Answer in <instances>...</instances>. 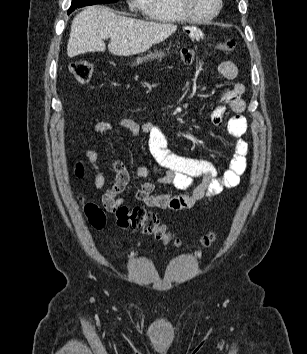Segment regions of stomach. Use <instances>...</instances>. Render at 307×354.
<instances>
[{"label": "stomach", "instance_id": "stomach-1", "mask_svg": "<svg viewBox=\"0 0 307 354\" xmlns=\"http://www.w3.org/2000/svg\"><path fill=\"white\" fill-rule=\"evenodd\" d=\"M163 57H165V53L162 51H156L154 53H149L148 55H146L144 57L137 58L136 61L132 63V66L142 64L143 62H146L149 60L150 61L155 60V59L161 60Z\"/></svg>", "mask_w": 307, "mask_h": 354}]
</instances>
